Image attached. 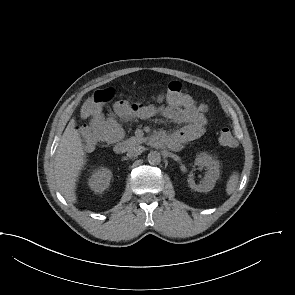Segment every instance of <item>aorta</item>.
Masks as SVG:
<instances>
[{
    "label": "aorta",
    "mask_w": 295,
    "mask_h": 295,
    "mask_svg": "<svg viewBox=\"0 0 295 295\" xmlns=\"http://www.w3.org/2000/svg\"><path fill=\"white\" fill-rule=\"evenodd\" d=\"M147 160L150 164H159L161 162V155L158 151H151L147 156Z\"/></svg>",
    "instance_id": "aorta-1"
}]
</instances>
